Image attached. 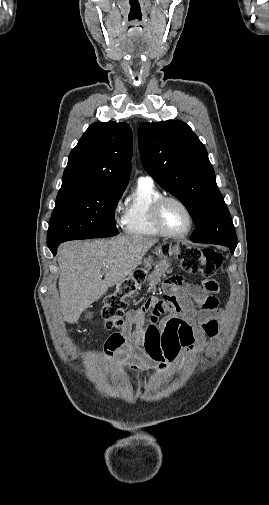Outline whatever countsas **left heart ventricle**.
<instances>
[{
	"mask_svg": "<svg viewBox=\"0 0 269 505\" xmlns=\"http://www.w3.org/2000/svg\"><path fill=\"white\" fill-rule=\"evenodd\" d=\"M161 219L167 230L173 233L184 232L189 224L186 211L176 202H166L161 210Z\"/></svg>",
	"mask_w": 269,
	"mask_h": 505,
	"instance_id": "left-heart-ventricle-1",
	"label": "left heart ventricle"
}]
</instances>
